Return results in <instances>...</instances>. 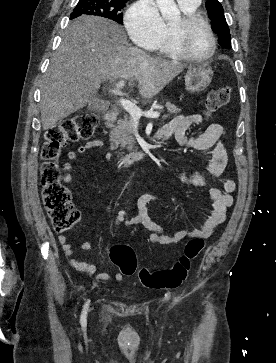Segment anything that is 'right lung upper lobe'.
I'll use <instances>...</instances> for the list:
<instances>
[{
	"label": "right lung upper lobe",
	"instance_id": "1",
	"mask_svg": "<svg viewBox=\"0 0 276 363\" xmlns=\"http://www.w3.org/2000/svg\"><path fill=\"white\" fill-rule=\"evenodd\" d=\"M119 1H128V0H119Z\"/></svg>",
	"mask_w": 276,
	"mask_h": 363
}]
</instances>
